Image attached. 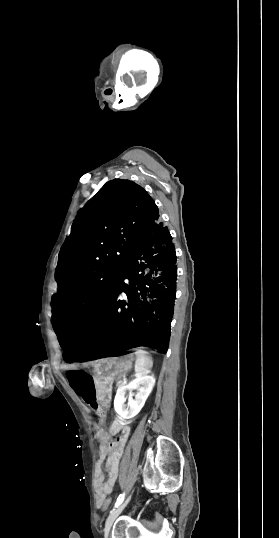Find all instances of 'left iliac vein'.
I'll use <instances>...</instances> for the list:
<instances>
[{"label":"left iliac vein","instance_id":"1","mask_svg":"<svg viewBox=\"0 0 279 538\" xmlns=\"http://www.w3.org/2000/svg\"><path fill=\"white\" fill-rule=\"evenodd\" d=\"M130 499H131V495H129L127 497V499L123 503H121L118 507L113 509L111 511V513L109 514V516L107 517V520H106V523H105V528H104L105 538H108L110 529H111L114 521L120 515V513L123 511V509L126 507V505L129 503Z\"/></svg>","mask_w":279,"mask_h":538}]
</instances>
